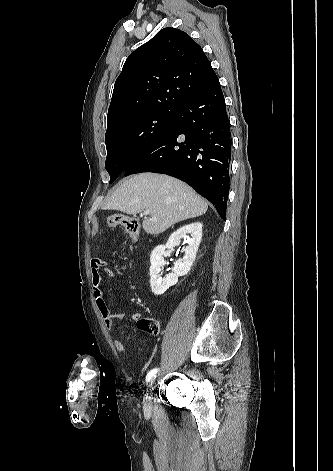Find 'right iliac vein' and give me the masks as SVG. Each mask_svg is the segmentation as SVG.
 Here are the masks:
<instances>
[{
	"label": "right iliac vein",
	"instance_id": "1",
	"mask_svg": "<svg viewBox=\"0 0 333 471\" xmlns=\"http://www.w3.org/2000/svg\"><path fill=\"white\" fill-rule=\"evenodd\" d=\"M155 378H152L149 380L147 384V395L144 398V406L145 408L149 409L151 407V396L149 394L152 393L153 390V385H154Z\"/></svg>",
	"mask_w": 333,
	"mask_h": 471
}]
</instances>
